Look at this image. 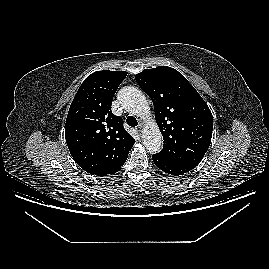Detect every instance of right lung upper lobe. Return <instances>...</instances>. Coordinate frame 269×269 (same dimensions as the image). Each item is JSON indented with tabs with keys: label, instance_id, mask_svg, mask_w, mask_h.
I'll list each match as a JSON object with an SVG mask.
<instances>
[{
	"label": "right lung upper lobe",
	"instance_id": "1",
	"mask_svg": "<svg viewBox=\"0 0 269 269\" xmlns=\"http://www.w3.org/2000/svg\"><path fill=\"white\" fill-rule=\"evenodd\" d=\"M125 71H97L78 89L70 106L65 139L75 162L87 173L111 175L124 165L135 140L111 111L113 95Z\"/></svg>",
	"mask_w": 269,
	"mask_h": 269
}]
</instances>
